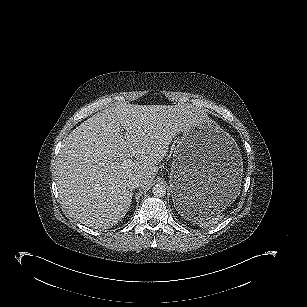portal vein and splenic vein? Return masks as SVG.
<instances>
[{"mask_svg":"<svg viewBox=\"0 0 307 307\" xmlns=\"http://www.w3.org/2000/svg\"><path fill=\"white\" fill-rule=\"evenodd\" d=\"M132 161H133V160H132V157H130V158L127 159L126 162H127V163H132Z\"/></svg>","mask_w":307,"mask_h":307,"instance_id":"obj_1","label":"portal vein and splenic vein"}]
</instances>
